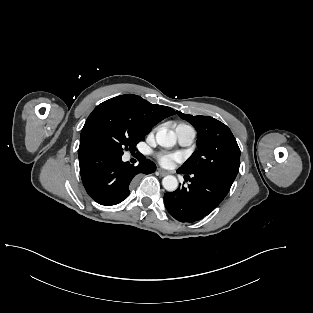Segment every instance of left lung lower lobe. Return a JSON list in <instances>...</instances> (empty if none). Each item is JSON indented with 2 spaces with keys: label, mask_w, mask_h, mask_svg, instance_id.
Masks as SVG:
<instances>
[{
  "label": "left lung lower lobe",
  "mask_w": 313,
  "mask_h": 313,
  "mask_svg": "<svg viewBox=\"0 0 313 313\" xmlns=\"http://www.w3.org/2000/svg\"><path fill=\"white\" fill-rule=\"evenodd\" d=\"M178 173H185L180 168ZM233 179L216 174H194L188 188L179 187L165 193L164 203L168 212L180 222H195L209 215L228 194Z\"/></svg>",
  "instance_id": "obj_1"
}]
</instances>
